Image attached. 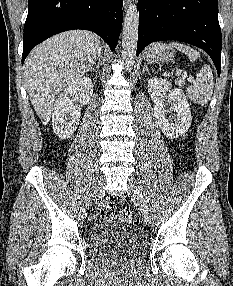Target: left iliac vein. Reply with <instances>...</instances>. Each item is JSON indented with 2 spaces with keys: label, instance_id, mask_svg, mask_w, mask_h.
I'll list each match as a JSON object with an SVG mask.
<instances>
[{
  "label": "left iliac vein",
  "instance_id": "left-iliac-vein-1",
  "mask_svg": "<svg viewBox=\"0 0 233 286\" xmlns=\"http://www.w3.org/2000/svg\"><path fill=\"white\" fill-rule=\"evenodd\" d=\"M128 183H129L128 194L135 200L136 204L138 205L142 213L144 222L146 224H149L150 223L149 208L143 197L140 186L133 177H129Z\"/></svg>",
  "mask_w": 233,
  "mask_h": 286
}]
</instances>
